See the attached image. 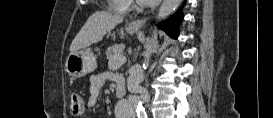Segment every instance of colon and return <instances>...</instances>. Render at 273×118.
Segmentation results:
<instances>
[{"label":"colon","mask_w":273,"mask_h":118,"mask_svg":"<svg viewBox=\"0 0 273 118\" xmlns=\"http://www.w3.org/2000/svg\"><path fill=\"white\" fill-rule=\"evenodd\" d=\"M70 110L75 116L84 112V100L79 93H73L70 100Z\"/></svg>","instance_id":"obj_1"}]
</instances>
